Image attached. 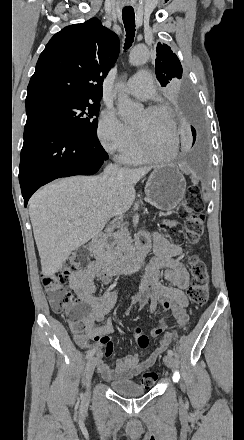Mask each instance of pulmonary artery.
Instances as JSON below:
<instances>
[{"instance_id": "e3ab8cb5", "label": "pulmonary artery", "mask_w": 244, "mask_h": 440, "mask_svg": "<svg viewBox=\"0 0 244 440\" xmlns=\"http://www.w3.org/2000/svg\"><path fill=\"white\" fill-rule=\"evenodd\" d=\"M127 91L141 99H153V83L148 69H139L138 75H129L126 84Z\"/></svg>"}]
</instances>
